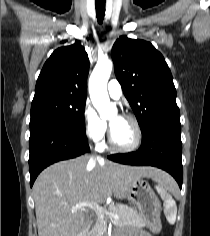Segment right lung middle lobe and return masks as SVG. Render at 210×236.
Listing matches in <instances>:
<instances>
[{
	"label": "right lung middle lobe",
	"instance_id": "right-lung-middle-lobe-1",
	"mask_svg": "<svg viewBox=\"0 0 210 236\" xmlns=\"http://www.w3.org/2000/svg\"><path fill=\"white\" fill-rule=\"evenodd\" d=\"M86 98L51 96L32 102L30 131L46 127H68L85 133Z\"/></svg>",
	"mask_w": 210,
	"mask_h": 236
}]
</instances>
